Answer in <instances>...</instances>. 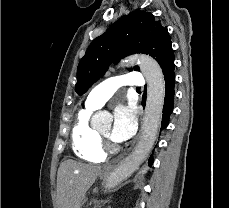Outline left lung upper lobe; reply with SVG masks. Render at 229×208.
Instances as JSON below:
<instances>
[{"label":"left lung upper lobe","mask_w":229,"mask_h":208,"mask_svg":"<svg viewBox=\"0 0 229 208\" xmlns=\"http://www.w3.org/2000/svg\"><path fill=\"white\" fill-rule=\"evenodd\" d=\"M134 53L149 54L158 61L163 72L174 60L167 28L156 21L151 12L133 11L124 15L90 44L77 68L76 93L83 95L112 62L117 63ZM134 70L138 71L139 67L135 66Z\"/></svg>","instance_id":"obj_1"}]
</instances>
